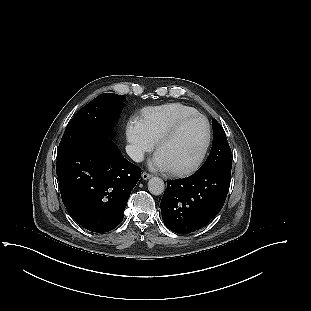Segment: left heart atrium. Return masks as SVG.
<instances>
[{
    "mask_svg": "<svg viewBox=\"0 0 311 311\" xmlns=\"http://www.w3.org/2000/svg\"><path fill=\"white\" fill-rule=\"evenodd\" d=\"M150 167L153 169L167 170L169 169L162 156L157 152L150 161Z\"/></svg>",
    "mask_w": 311,
    "mask_h": 311,
    "instance_id": "obj_1",
    "label": "left heart atrium"
}]
</instances>
